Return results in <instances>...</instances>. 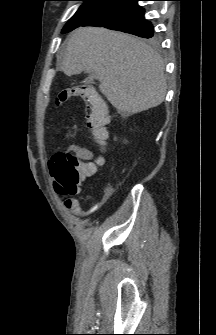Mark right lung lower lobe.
I'll return each mask as SVG.
<instances>
[{
	"label": "right lung lower lobe",
	"instance_id": "obj_1",
	"mask_svg": "<svg viewBox=\"0 0 216 335\" xmlns=\"http://www.w3.org/2000/svg\"><path fill=\"white\" fill-rule=\"evenodd\" d=\"M138 1L118 0L81 26H103L142 38H152L153 25L145 19V10L137 4Z\"/></svg>",
	"mask_w": 216,
	"mask_h": 335
}]
</instances>
